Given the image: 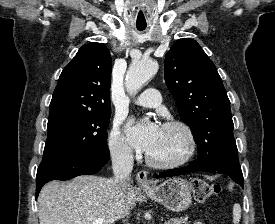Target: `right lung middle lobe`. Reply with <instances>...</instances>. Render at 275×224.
<instances>
[{
  "mask_svg": "<svg viewBox=\"0 0 275 224\" xmlns=\"http://www.w3.org/2000/svg\"><path fill=\"white\" fill-rule=\"evenodd\" d=\"M109 112H60L49 115L43 158L107 147Z\"/></svg>",
  "mask_w": 275,
  "mask_h": 224,
  "instance_id": "obj_1",
  "label": "right lung middle lobe"
}]
</instances>
